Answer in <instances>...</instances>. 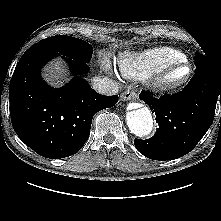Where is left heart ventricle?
Wrapping results in <instances>:
<instances>
[{"instance_id":"b2bd125f","label":"left heart ventricle","mask_w":221,"mask_h":221,"mask_svg":"<svg viewBox=\"0 0 221 221\" xmlns=\"http://www.w3.org/2000/svg\"><path fill=\"white\" fill-rule=\"evenodd\" d=\"M188 73V69L186 67H182L180 69H178L177 71H175L172 75H171V79L172 80H179L184 78Z\"/></svg>"}]
</instances>
